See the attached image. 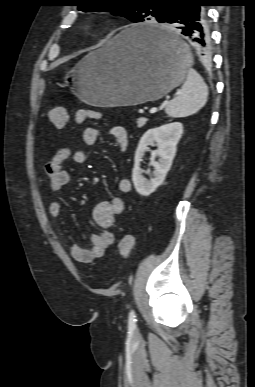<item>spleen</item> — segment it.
Returning <instances> with one entry per match:
<instances>
[{
  "mask_svg": "<svg viewBox=\"0 0 255 387\" xmlns=\"http://www.w3.org/2000/svg\"><path fill=\"white\" fill-rule=\"evenodd\" d=\"M207 98V85L193 68H189L186 81L178 91L177 96L167 103L165 112L173 118L187 117L204 107Z\"/></svg>",
  "mask_w": 255,
  "mask_h": 387,
  "instance_id": "1",
  "label": "spleen"
}]
</instances>
